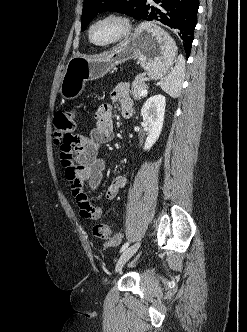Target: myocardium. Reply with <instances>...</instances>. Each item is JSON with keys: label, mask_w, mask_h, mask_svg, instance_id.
Wrapping results in <instances>:
<instances>
[{"label": "myocardium", "mask_w": 247, "mask_h": 332, "mask_svg": "<svg viewBox=\"0 0 247 332\" xmlns=\"http://www.w3.org/2000/svg\"><path fill=\"white\" fill-rule=\"evenodd\" d=\"M105 20H115L121 25V31L113 40L105 43H97L92 39V30L94 26ZM132 24L129 18L121 13L111 12L96 18L88 27L87 35L91 44L97 47H110L122 42L131 33Z\"/></svg>", "instance_id": "f54148a6"}]
</instances>
